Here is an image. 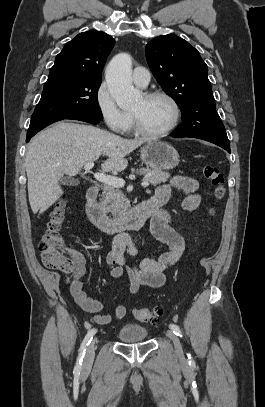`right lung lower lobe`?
Masks as SVG:
<instances>
[{
	"instance_id": "obj_1",
	"label": "right lung lower lobe",
	"mask_w": 265,
	"mask_h": 407,
	"mask_svg": "<svg viewBox=\"0 0 265 407\" xmlns=\"http://www.w3.org/2000/svg\"><path fill=\"white\" fill-rule=\"evenodd\" d=\"M70 119L81 120V121H85V122L92 123V124H98L100 122V120L95 119L93 117H89V116H77V117H73ZM32 136H34V135H27L26 141L28 142Z\"/></svg>"
}]
</instances>
